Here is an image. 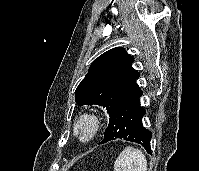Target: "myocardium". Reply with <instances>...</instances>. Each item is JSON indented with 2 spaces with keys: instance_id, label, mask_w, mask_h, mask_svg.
I'll use <instances>...</instances> for the list:
<instances>
[{
  "instance_id": "obj_1",
  "label": "myocardium",
  "mask_w": 199,
  "mask_h": 171,
  "mask_svg": "<svg viewBox=\"0 0 199 171\" xmlns=\"http://www.w3.org/2000/svg\"><path fill=\"white\" fill-rule=\"evenodd\" d=\"M86 127L87 133L83 135L81 128ZM101 129V118L94 111L80 113L73 122L72 132L74 137L82 142L89 143L96 138Z\"/></svg>"
}]
</instances>
